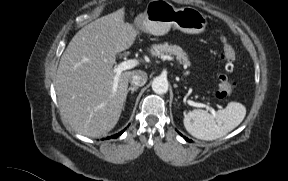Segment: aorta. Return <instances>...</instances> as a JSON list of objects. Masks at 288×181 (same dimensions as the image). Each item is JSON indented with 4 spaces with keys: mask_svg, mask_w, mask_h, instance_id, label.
<instances>
[{
    "mask_svg": "<svg viewBox=\"0 0 288 181\" xmlns=\"http://www.w3.org/2000/svg\"><path fill=\"white\" fill-rule=\"evenodd\" d=\"M152 90L156 94H165L168 91V81L165 77L158 76L152 81Z\"/></svg>",
    "mask_w": 288,
    "mask_h": 181,
    "instance_id": "obj_1",
    "label": "aorta"
}]
</instances>
